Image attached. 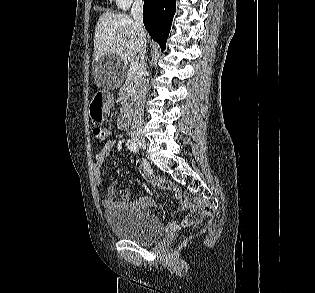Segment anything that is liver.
Segmentation results:
<instances>
[{
    "label": "liver",
    "instance_id": "obj_1",
    "mask_svg": "<svg viewBox=\"0 0 315 293\" xmlns=\"http://www.w3.org/2000/svg\"><path fill=\"white\" fill-rule=\"evenodd\" d=\"M137 52L133 18L126 14L103 13L95 29L94 59L100 60L105 55L114 54L127 61L133 59Z\"/></svg>",
    "mask_w": 315,
    "mask_h": 293
}]
</instances>
